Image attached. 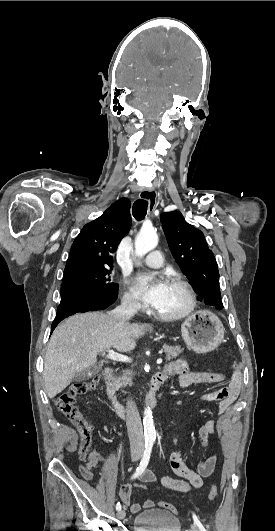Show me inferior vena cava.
<instances>
[{"instance_id":"602c4592","label":"inferior vena cava","mask_w":275,"mask_h":531,"mask_svg":"<svg viewBox=\"0 0 275 531\" xmlns=\"http://www.w3.org/2000/svg\"><path fill=\"white\" fill-rule=\"evenodd\" d=\"M135 307L136 301L129 299V301L122 303L120 307L111 311L109 315L115 317L117 321H127V319H131L135 315ZM126 427L131 449H144L142 423L138 409L132 399H129L126 403Z\"/></svg>"}]
</instances>
